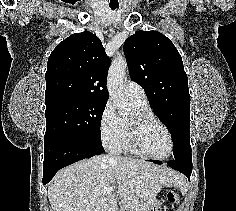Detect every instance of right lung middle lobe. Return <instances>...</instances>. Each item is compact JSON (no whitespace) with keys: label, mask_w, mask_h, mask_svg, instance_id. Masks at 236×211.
<instances>
[{"label":"right lung middle lobe","mask_w":236,"mask_h":211,"mask_svg":"<svg viewBox=\"0 0 236 211\" xmlns=\"http://www.w3.org/2000/svg\"><path fill=\"white\" fill-rule=\"evenodd\" d=\"M107 102L63 100L46 106L45 139L80 137L101 144V119Z\"/></svg>","instance_id":"dd1d6c3e"}]
</instances>
